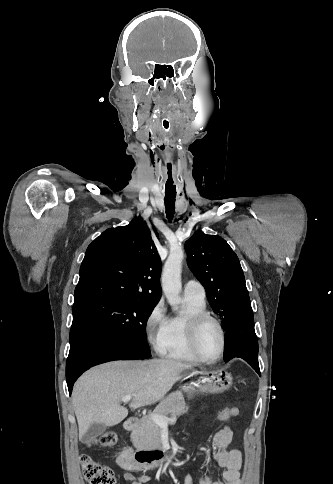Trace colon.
<instances>
[{
    "instance_id": "colon-1",
    "label": "colon",
    "mask_w": 333,
    "mask_h": 484,
    "mask_svg": "<svg viewBox=\"0 0 333 484\" xmlns=\"http://www.w3.org/2000/svg\"><path fill=\"white\" fill-rule=\"evenodd\" d=\"M229 409L228 407L220 408L214 413V416L218 420H227ZM117 442L118 436L116 433L106 432L94 439L91 445L112 447ZM80 461L84 478L89 484H114L115 474L110 467L99 464L88 455H82Z\"/></svg>"
}]
</instances>
